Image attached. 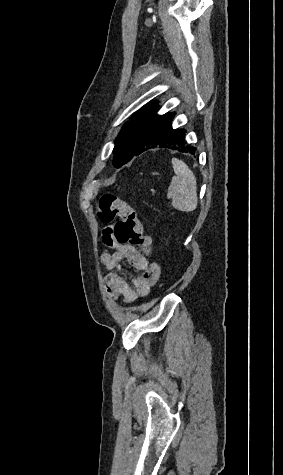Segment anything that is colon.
<instances>
[{
	"instance_id": "5ec220e1",
	"label": "colon",
	"mask_w": 283,
	"mask_h": 475,
	"mask_svg": "<svg viewBox=\"0 0 283 475\" xmlns=\"http://www.w3.org/2000/svg\"><path fill=\"white\" fill-rule=\"evenodd\" d=\"M97 216L103 223L120 224V233L114 235L119 243L137 246L146 256L150 254L151 238L144 232L137 211L127 201L111 193L104 194L98 202Z\"/></svg>"
}]
</instances>
